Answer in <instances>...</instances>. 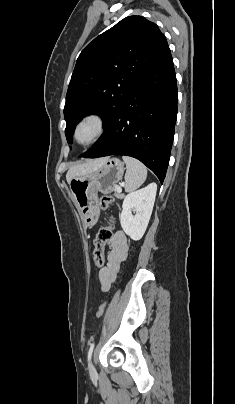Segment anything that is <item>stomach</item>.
<instances>
[{
    "instance_id": "stomach-1",
    "label": "stomach",
    "mask_w": 235,
    "mask_h": 404,
    "mask_svg": "<svg viewBox=\"0 0 235 404\" xmlns=\"http://www.w3.org/2000/svg\"><path fill=\"white\" fill-rule=\"evenodd\" d=\"M123 173L124 164L120 159L107 158L98 169L70 181L73 200L86 228H91L98 221V193H112Z\"/></svg>"
}]
</instances>
